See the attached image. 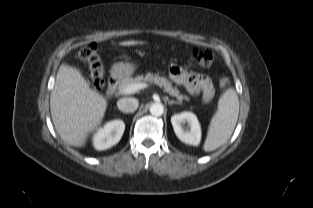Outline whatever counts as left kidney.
I'll return each instance as SVG.
<instances>
[{
  "mask_svg": "<svg viewBox=\"0 0 313 208\" xmlns=\"http://www.w3.org/2000/svg\"><path fill=\"white\" fill-rule=\"evenodd\" d=\"M171 123L176 136L184 143L198 146L201 141V126L192 112H182L171 117ZM187 123L188 126H184Z\"/></svg>",
  "mask_w": 313,
  "mask_h": 208,
  "instance_id": "5707ae66",
  "label": "left kidney"
}]
</instances>
